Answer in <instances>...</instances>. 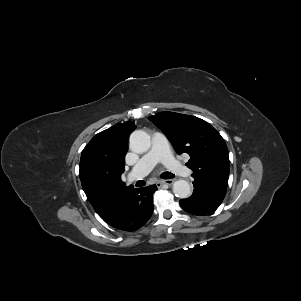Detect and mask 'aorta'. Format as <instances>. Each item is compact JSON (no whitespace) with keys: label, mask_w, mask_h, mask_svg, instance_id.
<instances>
[{"label":"aorta","mask_w":301,"mask_h":301,"mask_svg":"<svg viewBox=\"0 0 301 301\" xmlns=\"http://www.w3.org/2000/svg\"><path fill=\"white\" fill-rule=\"evenodd\" d=\"M129 145L132 151L144 153L151 147V138L143 130H135L129 138ZM173 193L175 196L185 199L191 195V187L186 180H177L173 183Z\"/></svg>","instance_id":"obj_1"}]
</instances>
